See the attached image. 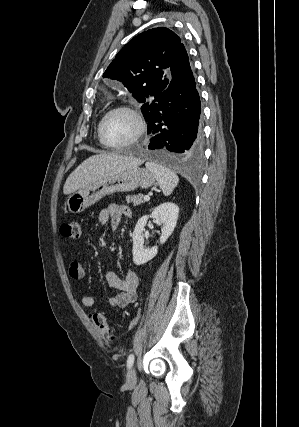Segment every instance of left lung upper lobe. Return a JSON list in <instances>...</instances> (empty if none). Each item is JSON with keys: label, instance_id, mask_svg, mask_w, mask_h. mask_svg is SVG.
I'll list each match as a JSON object with an SVG mask.
<instances>
[{"label": "left lung upper lobe", "instance_id": "5c2ea615", "mask_svg": "<svg viewBox=\"0 0 299 427\" xmlns=\"http://www.w3.org/2000/svg\"><path fill=\"white\" fill-rule=\"evenodd\" d=\"M180 37L172 30L159 27L147 30L130 40L107 67L103 77L118 80L142 103L146 118L170 81V66Z\"/></svg>", "mask_w": 299, "mask_h": 427}]
</instances>
